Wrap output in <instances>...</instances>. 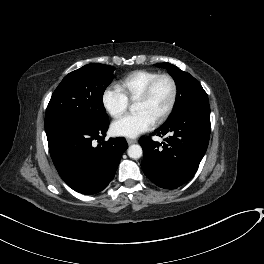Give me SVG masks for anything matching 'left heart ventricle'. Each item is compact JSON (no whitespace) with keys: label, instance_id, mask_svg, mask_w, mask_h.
<instances>
[{"label":"left heart ventricle","instance_id":"1","mask_svg":"<svg viewBox=\"0 0 264 264\" xmlns=\"http://www.w3.org/2000/svg\"><path fill=\"white\" fill-rule=\"evenodd\" d=\"M171 92L172 87L170 82L165 78L159 80L149 99L135 102V112H144L155 121L167 108Z\"/></svg>","mask_w":264,"mask_h":264}]
</instances>
